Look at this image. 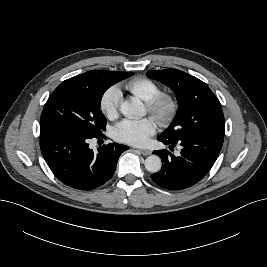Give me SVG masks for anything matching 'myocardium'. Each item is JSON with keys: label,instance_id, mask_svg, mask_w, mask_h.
<instances>
[{"label": "myocardium", "instance_id": "obj_1", "mask_svg": "<svg viewBox=\"0 0 267 267\" xmlns=\"http://www.w3.org/2000/svg\"><path fill=\"white\" fill-rule=\"evenodd\" d=\"M146 107L149 114L160 126L167 127L176 118L179 103L173 94L160 92L152 100L146 102Z\"/></svg>", "mask_w": 267, "mask_h": 267}]
</instances>
